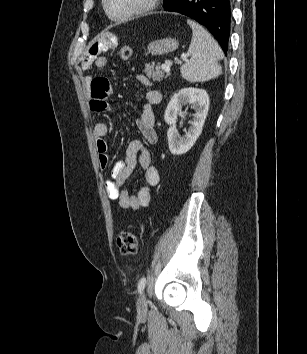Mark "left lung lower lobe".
I'll return each mask as SVG.
<instances>
[{
    "instance_id": "obj_1",
    "label": "left lung lower lobe",
    "mask_w": 307,
    "mask_h": 354,
    "mask_svg": "<svg viewBox=\"0 0 307 354\" xmlns=\"http://www.w3.org/2000/svg\"><path fill=\"white\" fill-rule=\"evenodd\" d=\"M164 9L186 15L204 25L227 53L231 0H171Z\"/></svg>"
}]
</instances>
